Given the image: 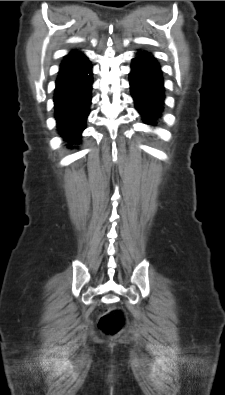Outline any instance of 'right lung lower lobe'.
I'll return each mask as SVG.
<instances>
[{"instance_id": "obj_1", "label": "right lung lower lobe", "mask_w": 225, "mask_h": 395, "mask_svg": "<svg viewBox=\"0 0 225 395\" xmlns=\"http://www.w3.org/2000/svg\"><path fill=\"white\" fill-rule=\"evenodd\" d=\"M92 65L90 62L70 69L59 70L54 93V109L61 137L78 143L86 128L90 113L92 92Z\"/></svg>"}]
</instances>
